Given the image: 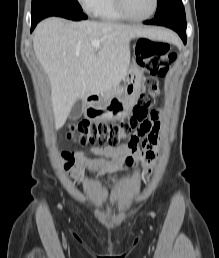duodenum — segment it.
<instances>
[{"instance_id":"duodenum-1","label":"duodenum","mask_w":219,"mask_h":258,"mask_svg":"<svg viewBox=\"0 0 219 258\" xmlns=\"http://www.w3.org/2000/svg\"><path fill=\"white\" fill-rule=\"evenodd\" d=\"M99 97V95L97 93H94V92H90L89 93V98L92 100V101H95L97 100Z\"/></svg>"}]
</instances>
